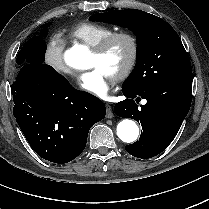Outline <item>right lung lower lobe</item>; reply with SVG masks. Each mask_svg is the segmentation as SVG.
Returning <instances> with one entry per match:
<instances>
[{"mask_svg": "<svg viewBox=\"0 0 209 209\" xmlns=\"http://www.w3.org/2000/svg\"><path fill=\"white\" fill-rule=\"evenodd\" d=\"M11 93L13 115L31 148L58 164L81 154L89 129L106 114L101 100L74 89L44 63H24Z\"/></svg>", "mask_w": 209, "mask_h": 209, "instance_id": "right-lung-lower-lobe-1", "label": "right lung lower lobe"}]
</instances>
